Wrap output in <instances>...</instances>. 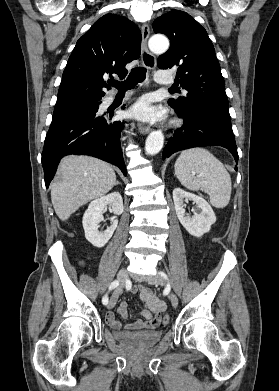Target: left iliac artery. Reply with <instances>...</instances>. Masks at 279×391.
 Returning <instances> with one entry per match:
<instances>
[{
	"label": "left iliac artery",
	"instance_id": "left-iliac-artery-1",
	"mask_svg": "<svg viewBox=\"0 0 279 391\" xmlns=\"http://www.w3.org/2000/svg\"><path fill=\"white\" fill-rule=\"evenodd\" d=\"M160 274H161V276H162L163 278L167 279V275H166L165 273L161 272Z\"/></svg>",
	"mask_w": 279,
	"mask_h": 391
}]
</instances>
